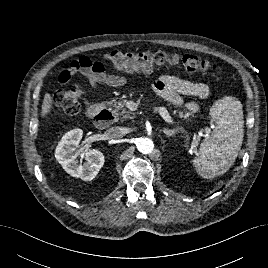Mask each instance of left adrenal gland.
Returning a JSON list of instances; mask_svg holds the SVG:
<instances>
[{
  "instance_id": "1",
  "label": "left adrenal gland",
  "mask_w": 268,
  "mask_h": 268,
  "mask_svg": "<svg viewBox=\"0 0 268 268\" xmlns=\"http://www.w3.org/2000/svg\"><path fill=\"white\" fill-rule=\"evenodd\" d=\"M164 134H166L168 137L175 136L178 132L177 128L176 129H163Z\"/></svg>"
}]
</instances>
